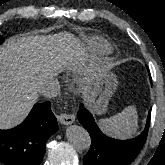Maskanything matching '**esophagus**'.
I'll return each instance as SVG.
<instances>
[{
  "label": "esophagus",
  "instance_id": "1",
  "mask_svg": "<svg viewBox=\"0 0 165 165\" xmlns=\"http://www.w3.org/2000/svg\"><path fill=\"white\" fill-rule=\"evenodd\" d=\"M58 120L61 124L69 125V124H72L75 121V116L73 114L62 113L58 117Z\"/></svg>",
  "mask_w": 165,
  "mask_h": 165
}]
</instances>
